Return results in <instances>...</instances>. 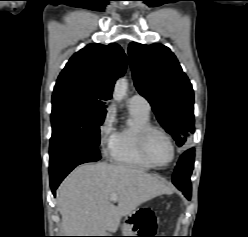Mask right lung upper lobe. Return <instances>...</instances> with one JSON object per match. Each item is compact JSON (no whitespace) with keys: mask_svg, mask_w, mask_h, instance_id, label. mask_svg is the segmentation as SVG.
<instances>
[{"mask_svg":"<svg viewBox=\"0 0 248 237\" xmlns=\"http://www.w3.org/2000/svg\"><path fill=\"white\" fill-rule=\"evenodd\" d=\"M126 67V55L118 44H89L60 73L52 102L73 101L106 111L103 101L111 99L115 81Z\"/></svg>","mask_w":248,"mask_h":237,"instance_id":"obj_1","label":"right lung upper lobe"}]
</instances>
